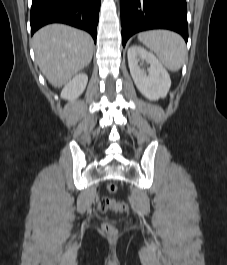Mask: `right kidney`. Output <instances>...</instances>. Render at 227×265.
Masks as SVG:
<instances>
[{"label": "right kidney", "instance_id": "1", "mask_svg": "<svg viewBox=\"0 0 227 265\" xmlns=\"http://www.w3.org/2000/svg\"><path fill=\"white\" fill-rule=\"evenodd\" d=\"M88 77L85 73H79L69 81L61 92V98L73 100L78 98L86 88Z\"/></svg>", "mask_w": 227, "mask_h": 265}]
</instances>
